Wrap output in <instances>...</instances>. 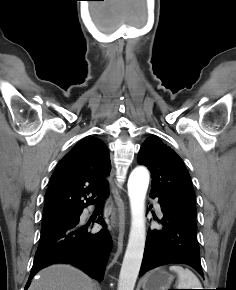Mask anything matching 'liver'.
Instances as JSON below:
<instances>
[{"mask_svg":"<svg viewBox=\"0 0 236 290\" xmlns=\"http://www.w3.org/2000/svg\"><path fill=\"white\" fill-rule=\"evenodd\" d=\"M94 281L81 270L66 264L49 266L38 273L29 290H96Z\"/></svg>","mask_w":236,"mask_h":290,"instance_id":"liver-1","label":"liver"}]
</instances>
